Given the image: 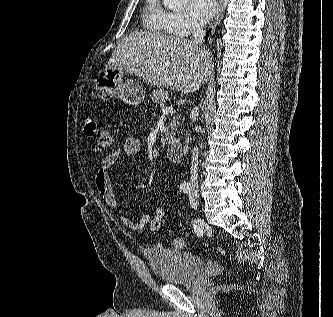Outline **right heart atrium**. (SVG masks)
<instances>
[{
    "instance_id": "1",
    "label": "right heart atrium",
    "mask_w": 333,
    "mask_h": 317,
    "mask_svg": "<svg viewBox=\"0 0 333 317\" xmlns=\"http://www.w3.org/2000/svg\"><path fill=\"white\" fill-rule=\"evenodd\" d=\"M169 26L176 35H187L196 29V25L183 13H171Z\"/></svg>"
}]
</instances>
